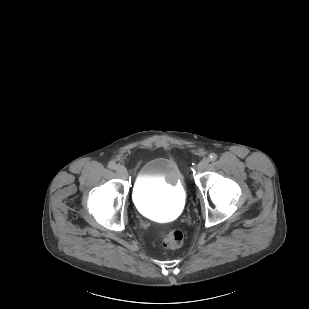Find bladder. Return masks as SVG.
Returning a JSON list of instances; mask_svg holds the SVG:
<instances>
[{"label":"bladder","instance_id":"31cf9c89","mask_svg":"<svg viewBox=\"0 0 309 309\" xmlns=\"http://www.w3.org/2000/svg\"><path fill=\"white\" fill-rule=\"evenodd\" d=\"M184 199L182 173L173 159L157 157L143 164L133 189V201L140 212L169 220L179 213Z\"/></svg>","mask_w":309,"mask_h":309}]
</instances>
